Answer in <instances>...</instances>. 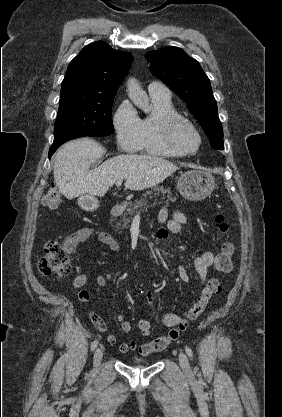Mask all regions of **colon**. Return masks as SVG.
Masks as SVG:
<instances>
[{
  "label": "colon",
  "instance_id": "obj_1",
  "mask_svg": "<svg viewBox=\"0 0 282 417\" xmlns=\"http://www.w3.org/2000/svg\"><path fill=\"white\" fill-rule=\"evenodd\" d=\"M43 202L48 209H57L61 203L59 190L54 186L47 188L43 195ZM216 220L218 229L225 234L229 229V224L224 221L222 216H217ZM69 252L70 244L68 243L46 242L45 255L38 263L39 272L46 275L54 274L59 277L68 276L71 271L67 259V253ZM233 253L234 244L231 241H224L215 258L214 266L220 271H230L233 265ZM221 287L219 278L209 279L193 307L186 312L185 317L178 323L176 328L168 330L167 335L163 339H155L151 347H142L140 350L141 355L151 356L152 353H163L167 344H174L188 324L204 311L209 300L220 293Z\"/></svg>",
  "mask_w": 282,
  "mask_h": 417
}]
</instances>
